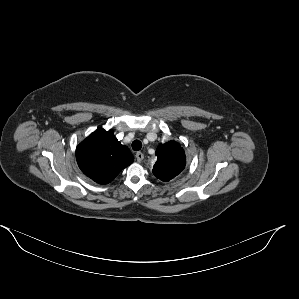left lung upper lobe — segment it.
Returning a JSON list of instances; mask_svg holds the SVG:
<instances>
[{
	"mask_svg": "<svg viewBox=\"0 0 299 299\" xmlns=\"http://www.w3.org/2000/svg\"><path fill=\"white\" fill-rule=\"evenodd\" d=\"M156 155L158 159L153 167V174L161 181H170L185 168L184 150L175 141L160 144L157 147Z\"/></svg>",
	"mask_w": 299,
	"mask_h": 299,
	"instance_id": "5c2ea615",
	"label": "left lung upper lobe"
}]
</instances>
